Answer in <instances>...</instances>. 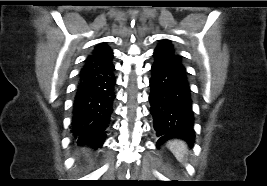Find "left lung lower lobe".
<instances>
[{
    "instance_id": "left-lung-lower-lobe-1",
    "label": "left lung lower lobe",
    "mask_w": 267,
    "mask_h": 186,
    "mask_svg": "<svg viewBox=\"0 0 267 186\" xmlns=\"http://www.w3.org/2000/svg\"><path fill=\"white\" fill-rule=\"evenodd\" d=\"M150 78L151 114L159 137L157 146L172 138L194 143V116L185 67L153 54Z\"/></svg>"
}]
</instances>
